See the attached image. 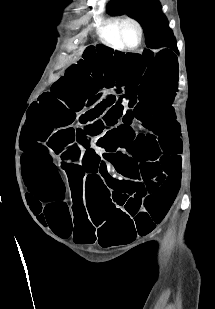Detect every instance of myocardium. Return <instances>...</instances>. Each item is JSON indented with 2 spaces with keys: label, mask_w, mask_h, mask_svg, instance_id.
I'll use <instances>...</instances> for the list:
<instances>
[{
  "label": "myocardium",
  "mask_w": 215,
  "mask_h": 309,
  "mask_svg": "<svg viewBox=\"0 0 215 309\" xmlns=\"http://www.w3.org/2000/svg\"><path fill=\"white\" fill-rule=\"evenodd\" d=\"M116 27L118 28L119 43H122L123 48H138L139 47L142 41V28L137 21H135L132 18H128V17L122 18L117 22ZM126 28H131L135 32L136 41L132 45H127L126 42H124L125 35H122V32Z\"/></svg>",
  "instance_id": "1"
}]
</instances>
